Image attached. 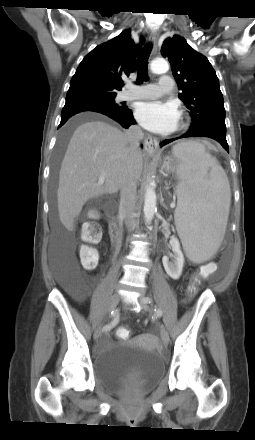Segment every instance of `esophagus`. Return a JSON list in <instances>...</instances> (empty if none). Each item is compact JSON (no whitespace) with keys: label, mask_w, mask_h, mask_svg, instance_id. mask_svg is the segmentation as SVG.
Instances as JSON below:
<instances>
[{"label":"esophagus","mask_w":255,"mask_h":440,"mask_svg":"<svg viewBox=\"0 0 255 440\" xmlns=\"http://www.w3.org/2000/svg\"><path fill=\"white\" fill-rule=\"evenodd\" d=\"M158 38H159V32L157 30L153 31L152 34L150 35V40L153 44V50H152L153 55L157 51ZM143 144H144L145 151L150 155L155 154L158 150V147H159V143H158L157 139L150 137V136H148L144 139Z\"/></svg>","instance_id":"esophagus-1"}]
</instances>
